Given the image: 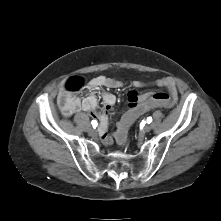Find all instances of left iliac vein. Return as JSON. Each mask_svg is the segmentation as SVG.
I'll return each mask as SVG.
<instances>
[{"label":"left iliac vein","instance_id":"obj_1","mask_svg":"<svg viewBox=\"0 0 221 221\" xmlns=\"http://www.w3.org/2000/svg\"><path fill=\"white\" fill-rule=\"evenodd\" d=\"M152 129L151 125L147 124L144 128H143V132L144 133H148L150 132Z\"/></svg>","mask_w":221,"mask_h":221}]
</instances>
